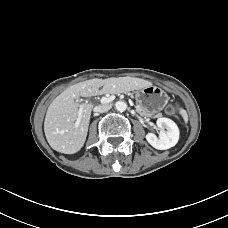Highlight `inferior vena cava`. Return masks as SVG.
Returning <instances> with one entry per match:
<instances>
[{
  "label": "inferior vena cava",
  "instance_id": "602c4592",
  "mask_svg": "<svg viewBox=\"0 0 228 228\" xmlns=\"http://www.w3.org/2000/svg\"><path fill=\"white\" fill-rule=\"evenodd\" d=\"M110 109H111V105H109V104H102V105L95 106L93 110H94V112H100V113H102V112H106V111H108Z\"/></svg>",
  "mask_w": 228,
  "mask_h": 228
}]
</instances>
